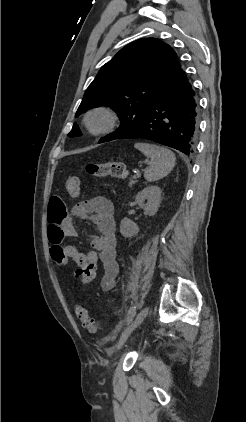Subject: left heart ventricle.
<instances>
[{"mask_svg":"<svg viewBox=\"0 0 246 422\" xmlns=\"http://www.w3.org/2000/svg\"><path fill=\"white\" fill-rule=\"evenodd\" d=\"M100 123V118H94L93 120H92V124L93 125H98Z\"/></svg>","mask_w":246,"mask_h":422,"instance_id":"b2bd125f","label":"left heart ventricle"}]
</instances>
